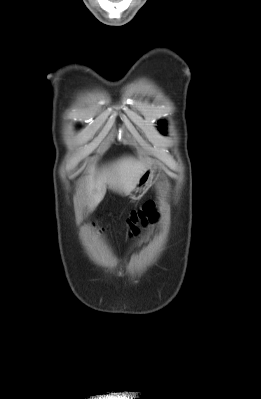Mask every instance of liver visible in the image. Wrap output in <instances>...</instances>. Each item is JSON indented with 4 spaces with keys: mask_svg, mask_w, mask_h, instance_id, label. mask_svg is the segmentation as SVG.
<instances>
[{
    "mask_svg": "<svg viewBox=\"0 0 261 399\" xmlns=\"http://www.w3.org/2000/svg\"><path fill=\"white\" fill-rule=\"evenodd\" d=\"M151 163L152 160L148 157L144 161L124 157L98 171L92 169L87 180L89 207L93 210L98 206L106 194L107 186L121 194L129 195Z\"/></svg>",
    "mask_w": 261,
    "mask_h": 399,
    "instance_id": "6515ba94",
    "label": "liver"
}]
</instances>
